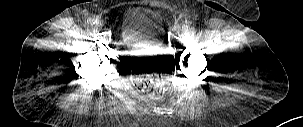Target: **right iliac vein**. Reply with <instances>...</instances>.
Wrapping results in <instances>:
<instances>
[{
  "label": "right iliac vein",
  "instance_id": "63e3f726",
  "mask_svg": "<svg viewBox=\"0 0 303 127\" xmlns=\"http://www.w3.org/2000/svg\"><path fill=\"white\" fill-rule=\"evenodd\" d=\"M95 25H96L97 27H102V26H103V21L100 20V19H98V20H96Z\"/></svg>",
  "mask_w": 303,
  "mask_h": 127
}]
</instances>
